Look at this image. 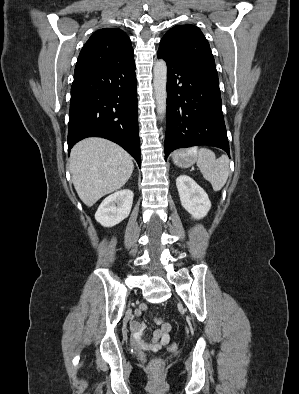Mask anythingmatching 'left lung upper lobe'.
<instances>
[{"label": "left lung upper lobe", "mask_w": 299, "mask_h": 394, "mask_svg": "<svg viewBox=\"0 0 299 394\" xmlns=\"http://www.w3.org/2000/svg\"><path fill=\"white\" fill-rule=\"evenodd\" d=\"M157 53L175 63L215 64L207 39L198 27L191 24L177 25L168 30Z\"/></svg>", "instance_id": "left-lung-upper-lobe-1"}]
</instances>
